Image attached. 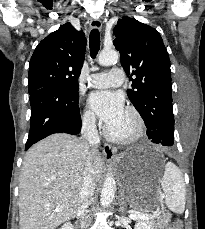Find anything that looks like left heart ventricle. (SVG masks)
<instances>
[{"label":"left heart ventricle","instance_id":"1","mask_svg":"<svg viewBox=\"0 0 205 229\" xmlns=\"http://www.w3.org/2000/svg\"><path fill=\"white\" fill-rule=\"evenodd\" d=\"M109 130L116 135H127L134 128V121L132 117L124 111L121 118L115 123L108 126Z\"/></svg>","mask_w":205,"mask_h":229}]
</instances>
